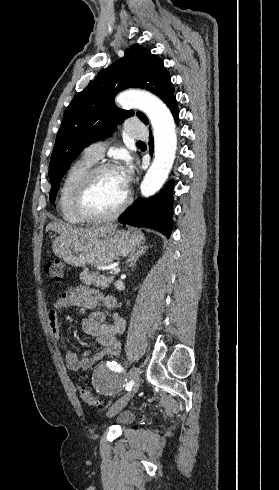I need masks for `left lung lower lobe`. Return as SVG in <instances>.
<instances>
[{"label":"left lung lower lobe","mask_w":279,"mask_h":490,"mask_svg":"<svg viewBox=\"0 0 279 490\" xmlns=\"http://www.w3.org/2000/svg\"><path fill=\"white\" fill-rule=\"evenodd\" d=\"M167 106L176 122H178L179 110L175 96L171 98ZM149 145L150 152H152L153 138L151 135ZM173 187V180H171L159 194L148 199L138 198L119 217V222L136 227L155 229L169 238L172 232Z\"/></svg>","instance_id":"obj_1"}]
</instances>
